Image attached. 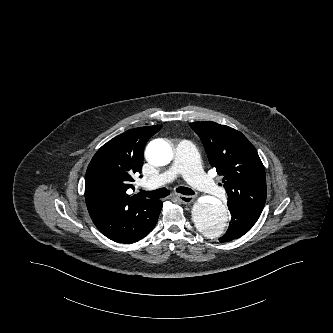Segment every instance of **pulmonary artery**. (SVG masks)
<instances>
[{
    "instance_id": "e3ab8cb5",
    "label": "pulmonary artery",
    "mask_w": 333,
    "mask_h": 333,
    "mask_svg": "<svg viewBox=\"0 0 333 333\" xmlns=\"http://www.w3.org/2000/svg\"><path fill=\"white\" fill-rule=\"evenodd\" d=\"M179 175L201 192L217 197L224 194V190L203 173L198 162L196 148L188 140H182L177 145L171 166L159 176L149 179L146 186L158 187L174 181Z\"/></svg>"
}]
</instances>
